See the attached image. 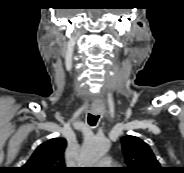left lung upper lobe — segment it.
<instances>
[{
	"label": "left lung upper lobe",
	"mask_w": 184,
	"mask_h": 173,
	"mask_svg": "<svg viewBox=\"0 0 184 173\" xmlns=\"http://www.w3.org/2000/svg\"><path fill=\"white\" fill-rule=\"evenodd\" d=\"M122 150L125 154V163L122 173H162L163 168L156 160L150 147L135 136H126L121 139Z\"/></svg>",
	"instance_id": "left-lung-upper-lobe-1"
}]
</instances>
